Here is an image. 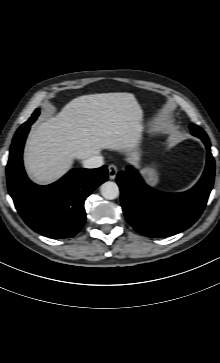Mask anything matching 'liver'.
<instances>
[{
	"mask_svg": "<svg viewBox=\"0 0 220 363\" xmlns=\"http://www.w3.org/2000/svg\"><path fill=\"white\" fill-rule=\"evenodd\" d=\"M143 111L131 93H102L77 97L55 116L33 127L24 153L31 179L50 184L102 149L126 152L138 166L136 150L142 139Z\"/></svg>",
	"mask_w": 220,
	"mask_h": 363,
	"instance_id": "obj_1",
	"label": "liver"
}]
</instances>
